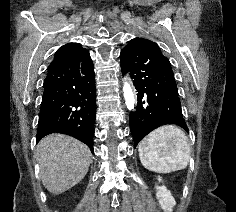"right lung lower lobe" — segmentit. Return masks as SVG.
I'll return each mask as SVG.
<instances>
[{"label":"right lung lower lobe","mask_w":236,"mask_h":212,"mask_svg":"<svg viewBox=\"0 0 236 212\" xmlns=\"http://www.w3.org/2000/svg\"><path fill=\"white\" fill-rule=\"evenodd\" d=\"M43 87L37 142L58 132L82 141L93 151L96 87L89 52L79 46L54 59Z\"/></svg>","instance_id":"right-lung-lower-lobe-1"}]
</instances>
